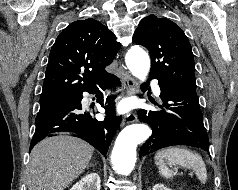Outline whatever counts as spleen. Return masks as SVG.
Listing matches in <instances>:
<instances>
[{"instance_id":"1","label":"spleen","mask_w":238,"mask_h":190,"mask_svg":"<svg viewBox=\"0 0 238 190\" xmlns=\"http://www.w3.org/2000/svg\"><path fill=\"white\" fill-rule=\"evenodd\" d=\"M155 161L158 165L159 173L162 177L170 179L173 176L172 171L166 166L164 161L182 167H190L196 173L197 178L203 184L207 181L206 166L202 157L183 147H170L159 151L155 155Z\"/></svg>"}]
</instances>
